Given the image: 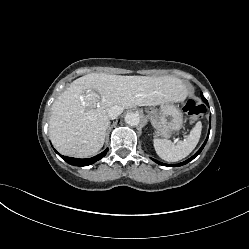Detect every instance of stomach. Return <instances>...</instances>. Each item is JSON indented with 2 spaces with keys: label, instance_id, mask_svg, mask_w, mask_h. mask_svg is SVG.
<instances>
[{
  "label": "stomach",
  "instance_id": "stomach-1",
  "mask_svg": "<svg viewBox=\"0 0 249 249\" xmlns=\"http://www.w3.org/2000/svg\"><path fill=\"white\" fill-rule=\"evenodd\" d=\"M147 113L158 137L169 138L182 128L183 114L171 103L163 104L159 109L152 108Z\"/></svg>",
  "mask_w": 249,
  "mask_h": 249
}]
</instances>
